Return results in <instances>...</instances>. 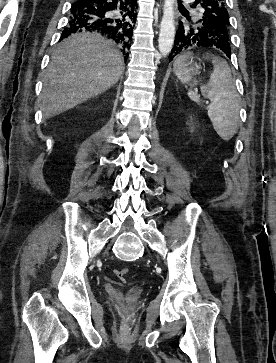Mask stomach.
<instances>
[{"mask_svg":"<svg viewBox=\"0 0 276 363\" xmlns=\"http://www.w3.org/2000/svg\"><path fill=\"white\" fill-rule=\"evenodd\" d=\"M184 71L187 75H189V77L191 78L192 76L198 74L201 66L198 65L196 62L193 61H186L184 63Z\"/></svg>","mask_w":276,"mask_h":363,"instance_id":"obj_1","label":"stomach"}]
</instances>
